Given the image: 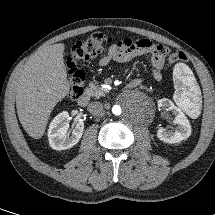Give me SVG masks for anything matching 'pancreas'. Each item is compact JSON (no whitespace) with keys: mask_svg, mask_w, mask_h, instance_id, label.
Masks as SVG:
<instances>
[{"mask_svg":"<svg viewBox=\"0 0 215 215\" xmlns=\"http://www.w3.org/2000/svg\"><path fill=\"white\" fill-rule=\"evenodd\" d=\"M86 92L92 97L100 98L101 96H105L109 91L103 89L94 82H90L89 86L86 88Z\"/></svg>","mask_w":215,"mask_h":215,"instance_id":"pancreas-1","label":"pancreas"}]
</instances>
